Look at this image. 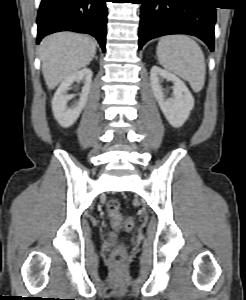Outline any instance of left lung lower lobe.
I'll return each mask as SVG.
<instances>
[{
    "label": "left lung lower lobe",
    "mask_w": 246,
    "mask_h": 300,
    "mask_svg": "<svg viewBox=\"0 0 246 300\" xmlns=\"http://www.w3.org/2000/svg\"><path fill=\"white\" fill-rule=\"evenodd\" d=\"M139 49L149 40L167 34H189L214 50L216 11L211 0H139Z\"/></svg>",
    "instance_id": "0a47b994"
}]
</instances>
